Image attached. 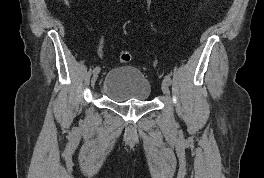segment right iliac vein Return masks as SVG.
<instances>
[{
  "instance_id": "obj_1",
  "label": "right iliac vein",
  "mask_w": 264,
  "mask_h": 178,
  "mask_svg": "<svg viewBox=\"0 0 264 178\" xmlns=\"http://www.w3.org/2000/svg\"><path fill=\"white\" fill-rule=\"evenodd\" d=\"M98 78V73H95L91 79V85L94 86Z\"/></svg>"
}]
</instances>
